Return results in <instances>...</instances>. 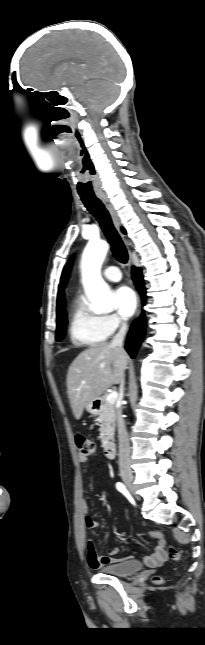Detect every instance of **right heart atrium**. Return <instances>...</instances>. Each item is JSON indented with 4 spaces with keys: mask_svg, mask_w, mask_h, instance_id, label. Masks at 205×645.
Wrapping results in <instances>:
<instances>
[{
    "mask_svg": "<svg viewBox=\"0 0 205 645\" xmlns=\"http://www.w3.org/2000/svg\"><path fill=\"white\" fill-rule=\"evenodd\" d=\"M103 323L109 334L116 332L124 325L122 320L115 314H109V315L103 316Z\"/></svg>",
    "mask_w": 205,
    "mask_h": 645,
    "instance_id": "right-heart-atrium-1",
    "label": "right heart atrium"
}]
</instances>
